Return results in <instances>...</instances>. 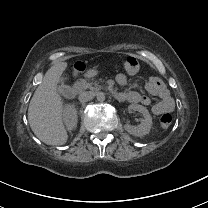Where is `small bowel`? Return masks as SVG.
I'll return each instance as SVG.
<instances>
[{"label":"small bowel","instance_id":"small-bowel-1","mask_svg":"<svg viewBox=\"0 0 208 208\" xmlns=\"http://www.w3.org/2000/svg\"><path fill=\"white\" fill-rule=\"evenodd\" d=\"M116 81L120 86H126L128 83V78L125 74H118ZM144 87L149 94L158 96L161 99L152 106V112L155 115H161L173 110L174 101L170 95V92L166 85L158 77H149ZM124 97L131 103H141L145 106H148L152 103L149 96L142 95L136 91H129L124 95Z\"/></svg>","mask_w":208,"mask_h":208}]
</instances>
